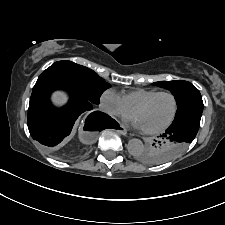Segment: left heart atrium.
<instances>
[{"label":"left heart atrium","mask_w":225,"mask_h":225,"mask_svg":"<svg viewBox=\"0 0 225 225\" xmlns=\"http://www.w3.org/2000/svg\"><path fill=\"white\" fill-rule=\"evenodd\" d=\"M130 121L136 128L143 129L141 123L138 121V119L136 117L131 118Z\"/></svg>","instance_id":"left-heart-atrium-1"}]
</instances>
